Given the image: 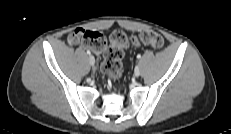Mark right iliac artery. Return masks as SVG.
Returning <instances> with one entry per match:
<instances>
[{
	"label": "right iliac artery",
	"instance_id": "1",
	"mask_svg": "<svg viewBox=\"0 0 231 134\" xmlns=\"http://www.w3.org/2000/svg\"><path fill=\"white\" fill-rule=\"evenodd\" d=\"M87 54H88V55H90V54H91V52H90L89 50H87Z\"/></svg>",
	"mask_w": 231,
	"mask_h": 134
}]
</instances>
